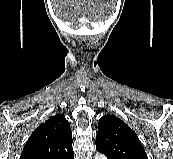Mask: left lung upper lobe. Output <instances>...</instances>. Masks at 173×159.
<instances>
[{
  "instance_id": "1",
  "label": "left lung upper lobe",
  "mask_w": 173,
  "mask_h": 159,
  "mask_svg": "<svg viewBox=\"0 0 173 159\" xmlns=\"http://www.w3.org/2000/svg\"><path fill=\"white\" fill-rule=\"evenodd\" d=\"M96 149L108 159H147L135 132L112 114H105L98 123Z\"/></svg>"
}]
</instances>
